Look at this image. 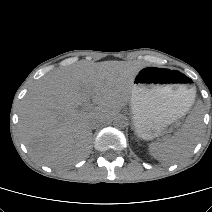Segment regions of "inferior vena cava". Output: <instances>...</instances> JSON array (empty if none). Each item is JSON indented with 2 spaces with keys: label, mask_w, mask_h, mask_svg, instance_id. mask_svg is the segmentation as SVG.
Listing matches in <instances>:
<instances>
[{
  "label": "inferior vena cava",
  "mask_w": 212,
  "mask_h": 212,
  "mask_svg": "<svg viewBox=\"0 0 212 212\" xmlns=\"http://www.w3.org/2000/svg\"><path fill=\"white\" fill-rule=\"evenodd\" d=\"M98 122H99L98 120L94 121L93 125H95V124L98 123Z\"/></svg>",
  "instance_id": "inferior-vena-cava-1"
}]
</instances>
